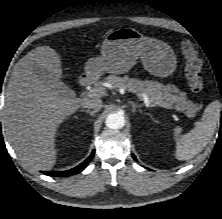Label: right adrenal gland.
I'll return each instance as SVG.
<instances>
[{"label":"right adrenal gland","mask_w":222,"mask_h":219,"mask_svg":"<svg viewBox=\"0 0 222 219\" xmlns=\"http://www.w3.org/2000/svg\"><path fill=\"white\" fill-rule=\"evenodd\" d=\"M83 112H86V113H89L90 116H94V114L97 112V111H91V110H82Z\"/></svg>","instance_id":"1"}]
</instances>
